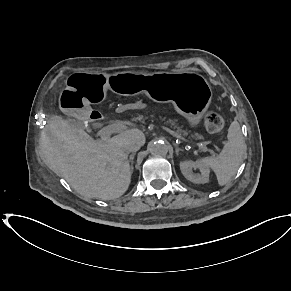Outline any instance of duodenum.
Listing matches in <instances>:
<instances>
[{
	"label": "duodenum",
	"instance_id": "1",
	"mask_svg": "<svg viewBox=\"0 0 291 291\" xmlns=\"http://www.w3.org/2000/svg\"><path fill=\"white\" fill-rule=\"evenodd\" d=\"M90 118L92 119V121L94 122H102L103 121V116L101 113L97 112V111H93L91 113Z\"/></svg>",
	"mask_w": 291,
	"mask_h": 291
}]
</instances>
